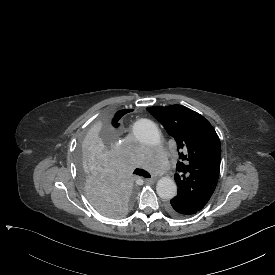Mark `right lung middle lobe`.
Returning a JSON list of instances; mask_svg holds the SVG:
<instances>
[{"mask_svg": "<svg viewBox=\"0 0 275 275\" xmlns=\"http://www.w3.org/2000/svg\"><path fill=\"white\" fill-rule=\"evenodd\" d=\"M121 118L106 113L85 130L74 156L76 180L93 207L103 215H126L133 204L134 187L127 180L123 160L114 143Z\"/></svg>", "mask_w": 275, "mask_h": 275, "instance_id": "dd1d6c3e", "label": "right lung middle lobe"}]
</instances>
